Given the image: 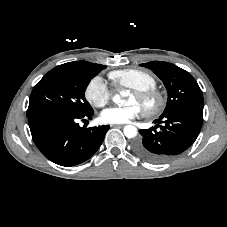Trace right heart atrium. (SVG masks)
Instances as JSON below:
<instances>
[{
    "mask_svg": "<svg viewBox=\"0 0 227 227\" xmlns=\"http://www.w3.org/2000/svg\"><path fill=\"white\" fill-rule=\"evenodd\" d=\"M111 95L112 91L110 87L100 76L93 77L85 88L87 101L97 108L107 105L111 99Z\"/></svg>",
    "mask_w": 227,
    "mask_h": 227,
    "instance_id": "right-heart-atrium-1",
    "label": "right heart atrium"
}]
</instances>
